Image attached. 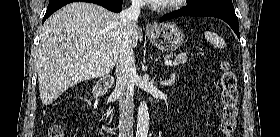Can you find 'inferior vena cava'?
<instances>
[{"instance_id":"inferior-vena-cava-1","label":"inferior vena cava","mask_w":280,"mask_h":137,"mask_svg":"<svg viewBox=\"0 0 280 137\" xmlns=\"http://www.w3.org/2000/svg\"><path fill=\"white\" fill-rule=\"evenodd\" d=\"M129 8L124 9L120 15L123 26L122 42L116 67L115 93L119 101V137H133V94L135 74L134 54L130 36L136 29V22L143 0H132Z\"/></svg>"}]
</instances>
